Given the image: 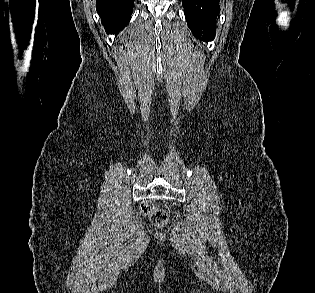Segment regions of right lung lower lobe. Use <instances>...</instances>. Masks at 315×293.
I'll return each mask as SVG.
<instances>
[{
    "label": "right lung lower lobe",
    "instance_id": "98d812e1",
    "mask_svg": "<svg viewBox=\"0 0 315 293\" xmlns=\"http://www.w3.org/2000/svg\"><path fill=\"white\" fill-rule=\"evenodd\" d=\"M134 0H97L96 10L107 33L119 32L131 19Z\"/></svg>",
    "mask_w": 315,
    "mask_h": 293
}]
</instances>
